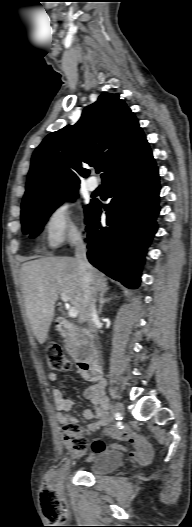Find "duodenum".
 <instances>
[{"instance_id":"1","label":"duodenum","mask_w":192,"mask_h":527,"mask_svg":"<svg viewBox=\"0 0 192 527\" xmlns=\"http://www.w3.org/2000/svg\"><path fill=\"white\" fill-rule=\"evenodd\" d=\"M58 328L62 336L71 338L76 335L75 326L66 320H59ZM78 368L82 376L90 381L102 382L101 369L97 357L93 354L78 358Z\"/></svg>"}]
</instances>
